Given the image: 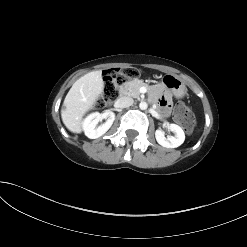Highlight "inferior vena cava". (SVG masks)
Returning <instances> with one entry per match:
<instances>
[{
    "instance_id": "602c4592",
    "label": "inferior vena cava",
    "mask_w": 247,
    "mask_h": 247,
    "mask_svg": "<svg viewBox=\"0 0 247 247\" xmlns=\"http://www.w3.org/2000/svg\"><path fill=\"white\" fill-rule=\"evenodd\" d=\"M133 102H134L133 98L129 96H122L119 99H117L116 105L119 108H126V107L131 106Z\"/></svg>"
}]
</instances>
